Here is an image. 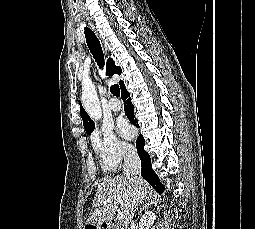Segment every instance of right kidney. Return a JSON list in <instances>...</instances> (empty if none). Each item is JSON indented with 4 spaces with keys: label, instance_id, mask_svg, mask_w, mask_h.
I'll use <instances>...</instances> for the list:
<instances>
[{
    "label": "right kidney",
    "instance_id": "obj_1",
    "mask_svg": "<svg viewBox=\"0 0 255 229\" xmlns=\"http://www.w3.org/2000/svg\"><path fill=\"white\" fill-rule=\"evenodd\" d=\"M155 219H156V216L152 211H146L145 214L140 218V221H139L140 229H150Z\"/></svg>",
    "mask_w": 255,
    "mask_h": 229
}]
</instances>
